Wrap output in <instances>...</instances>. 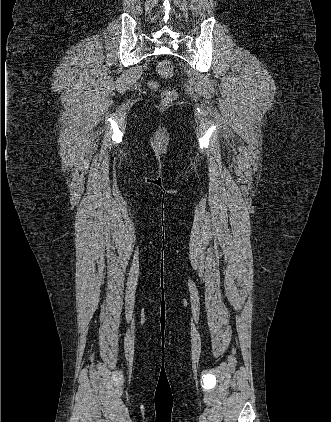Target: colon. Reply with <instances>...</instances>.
<instances>
[{
	"label": "colon",
	"instance_id": "1",
	"mask_svg": "<svg viewBox=\"0 0 331 422\" xmlns=\"http://www.w3.org/2000/svg\"><path fill=\"white\" fill-rule=\"evenodd\" d=\"M156 72L163 78H168L172 75V65L167 60H162L156 65ZM176 99V93L172 90H165L161 94V103L164 105L171 104Z\"/></svg>",
	"mask_w": 331,
	"mask_h": 422
}]
</instances>
